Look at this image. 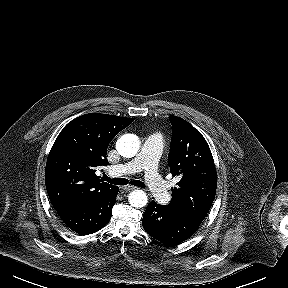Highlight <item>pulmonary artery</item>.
<instances>
[{
    "label": "pulmonary artery",
    "mask_w": 288,
    "mask_h": 288,
    "mask_svg": "<svg viewBox=\"0 0 288 288\" xmlns=\"http://www.w3.org/2000/svg\"><path fill=\"white\" fill-rule=\"evenodd\" d=\"M163 149V137L154 133L147 137L139 154L130 162L111 168L116 175L144 172L145 183L159 203L169 201L170 192L158 172V163Z\"/></svg>",
    "instance_id": "e3ab8cb5"
}]
</instances>
